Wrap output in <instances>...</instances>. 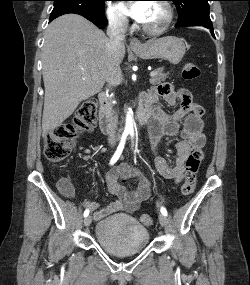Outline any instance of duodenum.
Returning <instances> with one entry per match:
<instances>
[{
	"mask_svg": "<svg viewBox=\"0 0 250 285\" xmlns=\"http://www.w3.org/2000/svg\"><path fill=\"white\" fill-rule=\"evenodd\" d=\"M99 101V126L103 133H110L113 130V117L110 110L109 96L105 92H101L98 95ZM151 116V107L148 103L142 102L137 114L136 118L139 123L143 124L148 121Z\"/></svg>",
	"mask_w": 250,
	"mask_h": 285,
	"instance_id": "obj_1",
	"label": "duodenum"
}]
</instances>
